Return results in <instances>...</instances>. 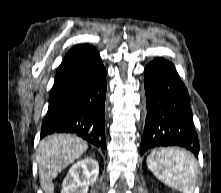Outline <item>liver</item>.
Returning a JSON list of instances; mask_svg holds the SVG:
<instances>
[{"mask_svg":"<svg viewBox=\"0 0 221 193\" xmlns=\"http://www.w3.org/2000/svg\"><path fill=\"white\" fill-rule=\"evenodd\" d=\"M87 149V142L68 134H53L40 142L37 162L40 185L45 193H54L52 180Z\"/></svg>","mask_w":221,"mask_h":193,"instance_id":"obj_1","label":"liver"}]
</instances>
